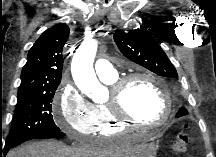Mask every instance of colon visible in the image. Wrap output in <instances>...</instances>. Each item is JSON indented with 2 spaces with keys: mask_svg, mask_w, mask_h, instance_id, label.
Masks as SVG:
<instances>
[{
  "mask_svg": "<svg viewBox=\"0 0 216 157\" xmlns=\"http://www.w3.org/2000/svg\"><path fill=\"white\" fill-rule=\"evenodd\" d=\"M190 143V135L187 131V127L184 126L176 135L173 151L177 154H184L188 150Z\"/></svg>",
  "mask_w": 216,
  "mask_h": 157,
  "instance_id": "5ec220e1",
  "label": "colon"
}]
</instances>
